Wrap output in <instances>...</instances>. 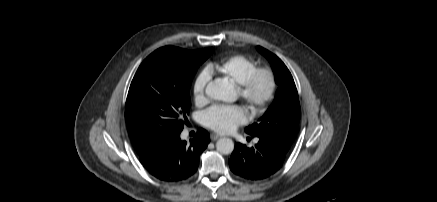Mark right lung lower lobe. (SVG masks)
<instances>
[{"label": "right lung lower lobe", "mask_w": 437, "mask_h": 202, "mask_svg": "<svg viewBox=\"0 0 437 202\" xmlns=\"http://www.w3.org/2000/svg\"><path fill=\"white\" fill-rule=\"evenodd\" d=\"M175 132L165 140L138 154L144 168L154 177L178 182L191 177L198 168L200 154L210 142L206 130L198 129L196 136L187 144Z\"/></svg>", "instance_id": "right-lung-lower-lobe-1"}]
</instances>
